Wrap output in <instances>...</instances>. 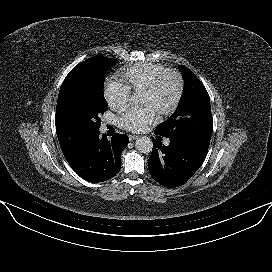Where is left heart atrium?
<instances>
[{"label":"left heart atrium","mask_w":272,"mask_h":272,"mask_svg":"<svg viewBox=\"0 0 272 272\" xmlns=\"http://www.w3.org/2000/svg\"><path fill=\"white\" fill-rule=\"evenodd\" d=\"M158 113L151 105H131L117 117V125L132 132L147 130L158 120Z\"/></svg>","instance_id":"obj_1"}]
</instances>
